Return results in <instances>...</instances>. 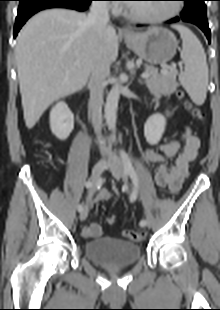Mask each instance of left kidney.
<instances>
[{"label": "left kidney", "mask_w": 220, "mask_h": 310, "mask_svg": "<svg viewBox=\"0 0 220 310\" xmlns=\"http://www.w3.org/2000/svg\"><path fill=\"white\" fill-rule=\"evenodd\" d=\"M165 126L166 120L162 114L157 113L149 117L144 125L146 141L150 145L157 144L165 131Z\"/></svg>", "instance_id": "5707ae66"}]
</instances>
